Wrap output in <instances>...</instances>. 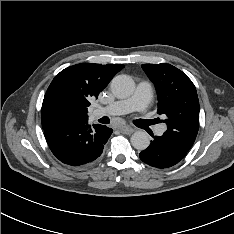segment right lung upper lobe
I'll return each mask as SVG.
<instances>
[{"label":"right lung upper lobe","instance_id":"1","mask_svg":"<svg viewBox=\"0 0 234 234\" xmlns=\"http://www.w3.org/2000/svg\"><path fill=\"white\" fill-rule=\"evenodd\" d=\"M122 64L80 63L58 73L44 96L41 118L53 110L64 111L70 119L88 118L90 100L97 98Z\"/></svg>","mask_w":234,"mask_h":234}]
</instances>
